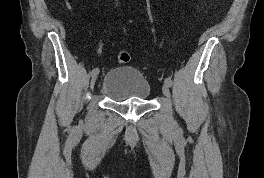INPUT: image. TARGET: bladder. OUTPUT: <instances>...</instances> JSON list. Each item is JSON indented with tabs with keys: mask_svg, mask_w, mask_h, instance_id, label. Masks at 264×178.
<instances>
[{
	"mask_svg": "<svg viewBox=\"0 0 264 178\" xmlns=\"http://www.w3.org/2000/svg\"><path fill=\"white\" fill-rule=\"evenodd\" d=\"M103 96L116 102L148 100L151 86L144 74L134 67H117L108 71L101 83Z\"/></svg>",
	"mask_w": 264,
	"mask_h": 178,
	"instance_id": "1",
	"label": "bladder"
}]
</instances>
